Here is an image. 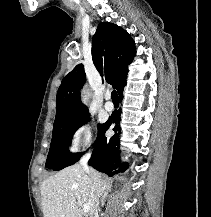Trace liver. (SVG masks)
I'll list each match as a JSON object with an SVG mask.
<instances>
[{"label":"liver","mask_w":211,"mask_h":217,"mask_svg":"<svg viewBox=\"0 0 211 217\" xmlns=\"http://www.w3.org/2000/svg\"><path fill=\"white\" fill-rule=\"evenodd\" d=\"M110 188L96 170L85 171L81 164L69 166L41 184L44 217H83L78 202L90 207L92 217L96 197Z\"/></svg>","instance_id":"liver-1"}]
</instances>
